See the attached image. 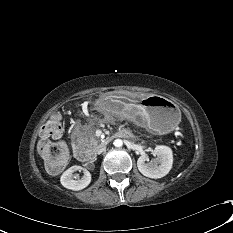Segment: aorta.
<instances>
[{
    "label": "aorta",
    "mask_w": 233,
    "mask_h": 233,
    "mask_svg": "<svg viewBox=\"0 0 233 233\" xmlns=\"http://www.w3.org/2000/svg\"><path fill=\"white\" fill-rule=\"evenodd\" d=\"M114 146L115 147H122L123 145V141L121 139H116L114 142H113Z\"/></svg>",
    "instance_id": "1"
}]
</instances>
